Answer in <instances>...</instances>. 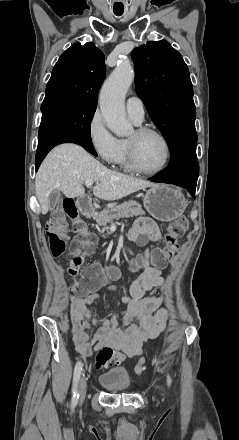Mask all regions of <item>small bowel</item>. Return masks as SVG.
<instances>
[{
    "mask_svg": "<svg viewBox=\"0 0 239 440\" xmlns=\"http://www.w3.org/2000/svg\"><path fill=\"white\" fill-rule=\"evenodd\" d=\"M129 238L139 245H146L149 241L159 240L160 231L151 218L140 217L130 230ZM150 257L151 250L147 249L142 261V273L122 296L125 304L123 327L116 313L107 319L92 317L93 305L100 298L99 294L91 289L81 294L75 290V285L72 287L74 294L71 296L69 330L78 353L89 356L94 351L111 349L115 354L113 363L120 364L126 358L140 355L144 343L157 338L166 329L169 313L162 307L163 295L145 296L154 288H160L161 291L165 288L161 269L150 265ZM115 290L114 286L107 289L108 292Z\"/></svg>",
    "mask_w": 239,
    "mask_h": 440,
    "instance_id": "obj_1",
    "label": "small bowel"
}]
</instances>
